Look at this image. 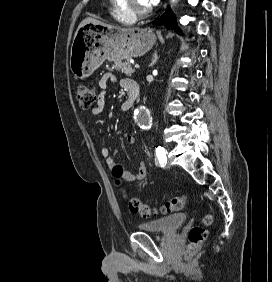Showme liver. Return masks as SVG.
<instances>
[{
	"label": "liver",
	"mask_w": 272,
	"mask_h": 282,
	"mask_svg": "<svg viewBox=\"0 0 272 282\" xmlns=\"http://www.w3.org/2000/svg\"><path fill=\"white\" fill-rule=\"evenodd\" d=\"M88 23H93V24H102V25H105V26L110 27V28H118V29H122V28H120V27H116V26H112V25H108V24L102 23L101 21H98V20L93 19V18H90V17H89V18L84 19V20L80 23V25H79L78 29H79L80 27H82L83 25L88 24ZM78 29H77V30H78ZM76 33H77V31H76ZM76 33H75V35H76Z\"/></svg>",
	"instance_id": "liver-1"
}]
</instances>
